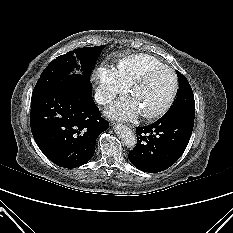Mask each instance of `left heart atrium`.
I'll return each instance as SVG.
<instances>
[{"label": "left heart atrium", "mask_w": 233, "mask_h": 233, "mask_svg": "<svg viewBox=\"0 0 233 233\" xmlns=\"http://www.w3.org/2000/svg\"><path fill=\"white\" fill-rule=\"evenodd\" d=\"M107 113L120 119H132L140 113V109L132 96H125L113 103Z\"/></svg>", "instance_id": "39dd6f15"}]
</instances>
